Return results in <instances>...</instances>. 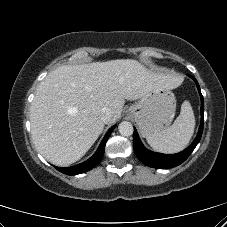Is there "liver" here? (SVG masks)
<instances>
[{
	"mask_svg": "<svg viewBox=\"0 0 227 227\" xmlns=\"http://www.w3.org/2000/svg\"><path fill=\"white\" fill-rule=\"evenodd\" d=\"M181 81L132 59L60 66L39 84L31 104L33 142L52 164H72L91 148L104 124L121 116L125 100L158 88L174 89ZM104 107L112 112L108 123L101 120Z\"/></svg>",
	"mask_w": 227,
	"mask_h": 227,
	"instance_id": "6515ba94",
	"label": "liver"
}]
</instances>
